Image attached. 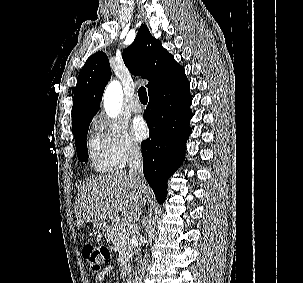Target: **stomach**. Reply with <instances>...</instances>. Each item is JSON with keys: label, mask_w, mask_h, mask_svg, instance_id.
I'll list each match as a JSON object with an SVG mask.
<instances>
[{"label": "stomach", "mask_w": 303, "mask_h": 283, "mask_svg": "<svg viewBox=\"0 0 303 283\" xmlns=\"http://www.w3.org/2000/svg\"><path fill=\"white\" fill-rule=\"evenodd\" d=\"M94 229L97 231L102 230L103 232L108 231L110 228L107 225L106 221L96 222L93 224Z\"/></svg>", "instance_id": "stomach-1"}]
</instances>
